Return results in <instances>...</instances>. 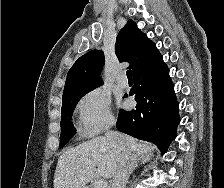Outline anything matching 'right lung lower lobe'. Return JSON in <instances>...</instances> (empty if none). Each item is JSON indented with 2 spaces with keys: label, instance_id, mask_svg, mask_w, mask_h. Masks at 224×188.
<instances>
[{
  "label": "right lung lower lobe",
  "instance_id": "98d812e1",
  "mask_svg": "<svg viewBox=\"0 0 224 188\" xmlns=\"http://www.w3.org/2000/svg\"><path fill=\"white\" fill-rule=\"evenodd\" d=\"M133 79L129 95L135 96L137 105L132 111H120L116 127L123 133L156 144L165 153L176 137L180 118L174 86L163 57L137 72Z\"/></svg>",
  "mask_w": 224,
  "mask_h": 188
}]
</instances>
